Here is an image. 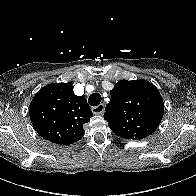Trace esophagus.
Instances as JSON below:
<instances>
[{
    "label": "esophagus",
    "instance_id": "1",
    "mask_svg": "<svg viewBox=\"0 0 196 196\" xmlns=\"http://www.w3.org/2000/svg\"><path fill=\"white\" fill-rule=\"evenodd\" d=\"M92 112L96 115L103 114L104 112V104H99L98 106L92 107Z\"/></svg>",
    "mask_w": 196,
    "mask_h": 196
}]
</instances>
